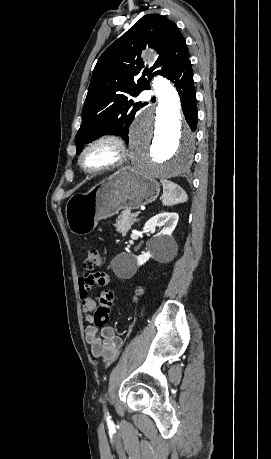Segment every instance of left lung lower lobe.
I'll use <instances>...</instances> for the list:
<instances>
[{
  "instance_id": "left-lung-lower-lobe-1",
  "label": "left lung lower lobe",
  "mask_w": 271,
  "mask_h": 459,
  "mask_svg": "<svg viewBox=\"0 0 271 459\" xmlns=\"http://www.w3.org/2000/svg\"><path fill=\"white\" fill-rule=\"evenodd\" d=\"M168 79L175 84L180 95L183 114L192 131L197 128L198 111L194 89L193 70L189 58L170 74Z\"/></svg>"
}]
</instances>
